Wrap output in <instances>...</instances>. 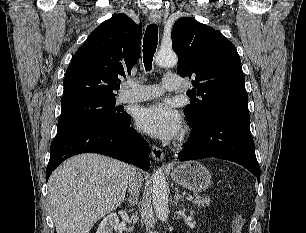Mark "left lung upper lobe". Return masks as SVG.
<instances>
[{
  "label": "left lung upper lobe",
  "mask_w": 306,
  "mask_h": 233,
  "mask_svg": "<svg viewBox=\"0 0 306 233\" xmlns=\"http://www.w3.org/2000/svg\"><path fill=\"white\" fill-rule=\"evenodd\" d=\"M171 37L179 59L177 72L193 79L194 88L189 91L193 101L184 110L191 127L216 116L249 117L245 78L235 46L219 31L187 17L175 22Z\"/></svg>",
  "instance_id": "1"
}]
</instances>
